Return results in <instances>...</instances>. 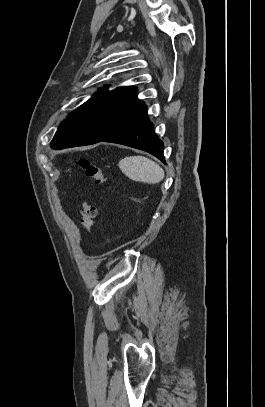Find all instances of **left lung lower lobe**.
<instances>
[{
  "instance_id": "left-lung-lower-lobe-1",
  "label": "left lung lower lobe",
  "mask_w": 265,
  "mask_h": 407,
  "mask_svg": "<svg viewBox=\"0 0 265 407\" xmlns=\"http://www.w3.org/2000/svg\"><path fill=\"white\" fill-rule=\"evenodd\" d=\"M102 141L147 151L165 163L163 157L164 144L154 133L153 124L147 118V114ZM69 147L74 146L65 145L61 149Z\"/></svg>"
}]
</instances>
